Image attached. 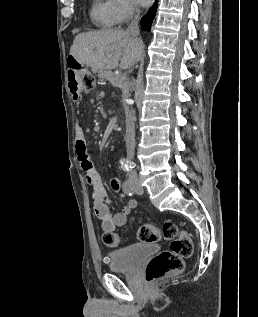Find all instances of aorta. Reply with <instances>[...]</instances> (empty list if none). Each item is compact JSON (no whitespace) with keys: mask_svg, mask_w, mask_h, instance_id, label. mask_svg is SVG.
<instances>
[{"mask_svg":"<svg viewBox=\"0 0 258 317\" xmlns=\"http://www.w3.org/2000/svg\"><path fill=\"white\" fill-rule=\"evenodd\" d=\"M124 166H125L126 169H128L129 168L128 166H130V164L129 163H125Z\"/></svg>","mask_w":258,"mask_h":317,"instance_id":"obj_1","label":"aorta"}]
</instances>
